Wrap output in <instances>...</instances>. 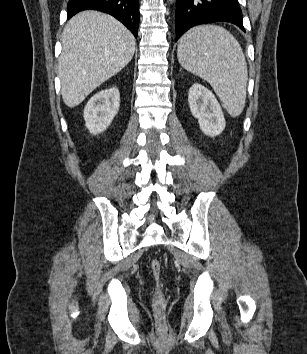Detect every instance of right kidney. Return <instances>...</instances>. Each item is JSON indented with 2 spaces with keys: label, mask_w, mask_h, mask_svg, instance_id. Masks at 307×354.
Segmentation results:
<instances>
[{
  "label": "right kidney",
  "mask_w": 307,
  "mask_h": 354,
  "mask_svg": "<svg viewBox=\"0 0 307 354\" xmlns=\"http://www.w3.org/2000/svg\"><path fill=\"white\" fill-rule=\"evenodd\" d=\"M120 93L115 87L96 93L84 109V120L93 135L104 132L118 113Z\"/></svg>",
  "instance_id": "right-kidney-1"
}]
</instances>
